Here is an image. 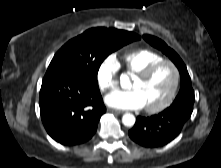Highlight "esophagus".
Returning <instances> with one entry per match:
<instances>
[{"mask_svg": "<svg viewBox=\"0 0 221 168\" xmlns=\"http://www.w3.org/2000/svg\"><path fill=\"white\" fill-rule=\"evenodd\" d=\"M108 111L111 113H115V114H122L123 113V111L116 110V109H108Z\"/></svg>", "mask_w": 221, "mask_h": 168, "instance_id": "1", "label": "esophagus"}]
</instances>
